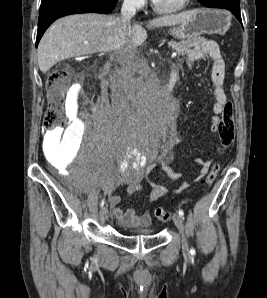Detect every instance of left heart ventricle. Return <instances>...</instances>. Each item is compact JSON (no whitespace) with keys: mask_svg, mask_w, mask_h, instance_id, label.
<instances>
[{"mask_svg":"<svg viewBox=\"0 0 267 298\" xmlns=\"http://www.w3.org/2000/svg\"><path fill=\"white\" fill-rule=\"evenodd\" d=\"M155 3L162 9H175L183 0H154Z\"/></svg>","mask_w":267,"mask_h":298,"instance_id":"1","label":"left heart ventricle"}]
</instances>
